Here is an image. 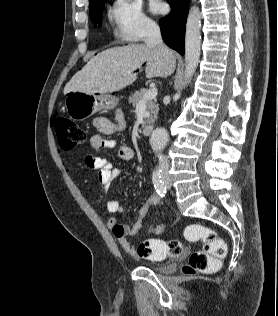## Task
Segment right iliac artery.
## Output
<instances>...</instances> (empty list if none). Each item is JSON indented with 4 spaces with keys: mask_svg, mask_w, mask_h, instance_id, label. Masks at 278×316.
Wrapping results in <instances>:
<instances>
[{
    "mask_svg": "<svg viewBox=\"0 0 278 316\" xmlns=\"http://www.w3.org/2000/svg\"><path fill=\"white\" fill-rule=\"evenodd\" d=\"M152 181L157 193L163 197L166 193V186L161 177V170L157 169L153 172Z\"/></svg>",
    "mask_w": 278,
    "mask_h": 316,
    "instance_id": "obj_1",
    "label": "right iliac artery"
}]
</instances>
